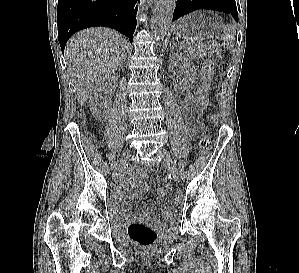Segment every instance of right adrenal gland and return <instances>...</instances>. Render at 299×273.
Here are the masks:
<instances>
[{
  "mask_svg": "<svg viewBox=\"0 0 299 273\" xmlns=\"http://www.w3.org/2000/svg\"><path fill=\"white\" fill-rule=\"evenodd\" d=\"M126 54L124 55V57H123V60H122V62H121V64H120V67H122L123 66V63L125 62V60H126Z\"/></svg>",
  "mask_w": 299,
  "mask_h": 273,
  "instance_id": "right-adrenal-gland-1",
  "label": "right adrenal gland"
}]
</instances>
